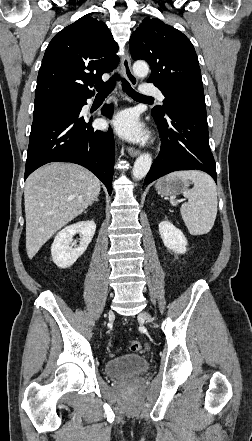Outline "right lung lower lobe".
<instances>
[{"label":"right lung lower lobe","mask_w":252,"mask_h":441,"mask_svg":"<svg viewBox=\"0 0 252 441\" xmlns=\"http://www.w3.org/2000/svg\"><path fill=\"white\" fill-rule=\"evenodd\" d=\"M90 97L61 96L56 99L66 110L49 109L34 114L24 179L46 163L67 161L89 169L111 194L115 155L113 134L111 129L106 133L94 130L90 127L92 121L80 116ZM111 111V105L102 108L106 116Z\"/></svg>","instance_id":"98d812e1"}]
</instances>
